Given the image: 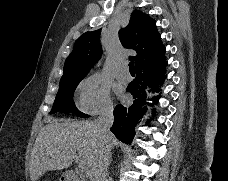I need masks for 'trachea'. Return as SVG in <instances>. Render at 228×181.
<instances>
[{
  "mask_svg": "<svg viewBox=\"0 0 228 181\" xmlns=\"http://www.w3.org/2000/svg\"><path fill=\"white\" fill-rule=\"evenodd\" d=\"M129 70H130V72H135L134 61H130V63H129Z\"/></svg>",
  "mask_w": 228,
  "mask_h": 181,
  "instance_id": "1",
  "label": "trachea"
}]
</instances>
